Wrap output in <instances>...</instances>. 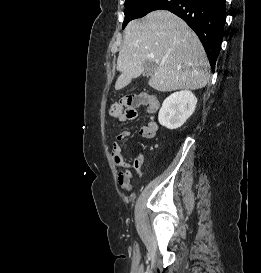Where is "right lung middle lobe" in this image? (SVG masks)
<instances>
[{
  "instance_id": "obj_1",
  "label": "right lung middle lobe",
  "mask_w": 261,
  "mask_h": 273,
  "mask_svg": "<svg viewBox=\"0 0 261 273\" xmlns=\"http://www.w3.org/2000/svg\"><path fill=\"white\" fill-rule=\"evenodd\" d=\"M154 0H126L124 6H126V9L124 11L125 13V19L123 22V28L128 24L129 21L143 17L145 14L140 9V5L151 3Z\"/></svg>"
}]
</instances>
